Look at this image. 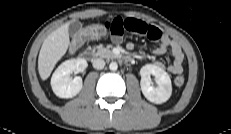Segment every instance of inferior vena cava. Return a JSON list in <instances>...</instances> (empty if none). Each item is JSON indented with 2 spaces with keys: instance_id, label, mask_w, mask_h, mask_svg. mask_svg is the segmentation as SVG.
Segmentation results:
<instances>
[{
  "instance_id": "1",
  "label": "inferior vena cava",
  "mask_w": 231,
  "mask_h": 134,
  "mask_svg": "<svg viewBox=\"0 0 231 134\" xmlns=\"http://www.w3.org/2000/svg\"><path fill=\"white\" fill-rule=\"evenodd\" d=\"M92 64H93V67L95 69L99 70V69H103L104 68L105 61L103 59H101V58H96V59L93 60Z\"/></svg>"
}]
</instances>
